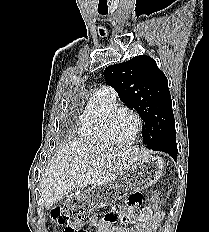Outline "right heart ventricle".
Masks as SVG:
<instances>
[{
  "mask_svg": "<svg viewBox=\"0 0 209 232\" xmlns=\"http://www.w3.org/2000/svg\"><path fill=\"white\" fill-rule=\"evenodd\" d=\"M118 107L115 98L104 88H99L90 96L78 120V133L87 143L97 146L111 144L104 131L105 118L108 112Z\"/></svg>",
  "mask_w": 209,
  "mask_h": 232,
  "instance_id": "e07e8e85",
  "label": "right heart ventricle"
}]
</instances>
